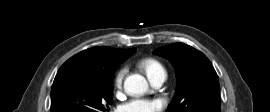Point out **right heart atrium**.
<instances>
[{"label":"right heart atrium","instance_id":"obj_1","mask_svg":"<svg viewBox=\"0 0 270 112\" xmlns=\"http://www.w3.org/2000/svg\"><path fill=\"white\" fill-rule=\"evenodd\" d=\"M126 72H127V69L124 67L120 69L118 73L116 74L115 79H114V85L117 88H121Z\"/></svg>","mask_w":270,"mask_h":112}]
</instances>
